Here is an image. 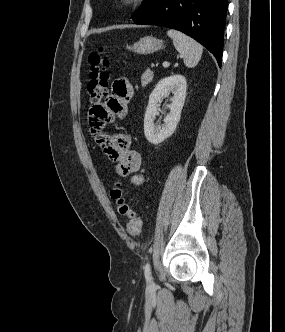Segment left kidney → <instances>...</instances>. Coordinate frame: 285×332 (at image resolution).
<instances>
[{"mask_svg": "<svg viewBox=\"0 0 285 332\" xmlns=\"http://www.w3.org/2000/svg\"><path fill=\"white\" fill-rule=\"evenodd\" d=\"M186 88L185 77L177 74L161 79L152 91L144 117V134L151 144H160L174 133L185 102ZM170 93L173 94L170 113L164 118L163 126L158 127L154 124L158 102Z\"/></svg>", "mask_w": 285, "mask_h": 332, "instance_id": "left-kidney-1", "label": "left kidney"}]
</instances>
